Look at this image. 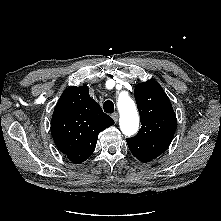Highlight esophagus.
<instances>
[{
    "label": "esophagus",
    "instance_id": "obj_1",
    "mask_svg": "<svg viewBox=\"0 0 221 221\" xmlns=\"http://www.w3.org/2000/svg\"><path fill=\"white\" fill-rule=\"evenodd\" d=\"M118 117H119L118 113H113V114H112V118H113V120H114L115 122L118 121Z\"/></svg>",
    "mask_w": 221,
    "mask_h": 221
}]
</instances>
